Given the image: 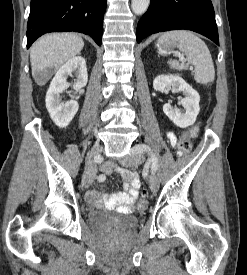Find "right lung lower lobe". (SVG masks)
<instances>
[{
  "label": "right lung lower lobe",
  "instance_id": "right-lung-lower-lobe-1",
  "mask_svg": "<svg viewBox=\"0 0 247 275\" xmlns=\"http://www.w3.org/2000/svg\"><path fill=\"white\" fill-rule=\"evenodd\" d=\"M107 0H31L27 48L48 32L75 31L101 45Z\"/></svg>",
  "mask_w": 247,
  "mask_h": 275
}]
</instances>
